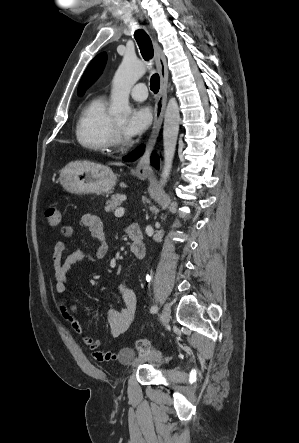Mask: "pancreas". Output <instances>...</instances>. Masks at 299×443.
<instances>
[{"instance_id":"pancreas-1","label":"pancreas","mask_w":299,"mask_h":443,"mask_svg":"<svg viewBox=\"0 0 299 443\" xmlns=\"http://www.w3.org/2000/svg\"><path fill=\"white\" fill-rule=\"evenodd\" d=\"M122 204V195L115 194L111 197L110 200L107 201L105 206L106 212H114L116 209H118Z\"/></svg>"}]
</instances>
